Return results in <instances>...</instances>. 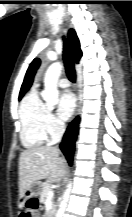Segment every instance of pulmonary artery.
<instances>
[{
	"label": "pulmonary artery",
	"instance_id": "1",
	"mask_svg": "<svg viewBox=\"0 0 132 217\" xmlns=\"http://www.w3.org/2000/svg\"><path fill=\"white\" fill-rule=\"evenodd\" d=\"M58 85H59L61 88H67V87H69V82H68L67 79L63 78V79H60V80H59Z\"/></svg>",
	"mask_w": 132,
	"mask_h": 217
}]
</instances>
